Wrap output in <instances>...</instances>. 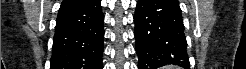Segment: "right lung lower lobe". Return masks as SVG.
<instances>
[{
	"instance_id": "1",
	"label": "right lung lower lobe",
	"mask_w": 246,
	"mask_h": 69,
	"mask_svg": "<svg viewBox=\"0 0 246 69\" xmlns=\"http://www.w3.org/2000/svg\"><path fill=\"white\" fill-rule=\"evenodd\" d=\"M99 0H63L56 20L51 69H102Z\"/></svg>"
}]
</instances>
